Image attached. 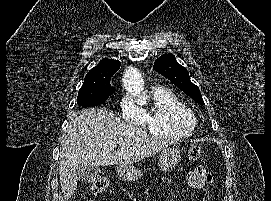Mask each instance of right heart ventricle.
I'll return each instance as SVG.
<instances>
[{
  "instance_id": "obj_1",
  "label": "right heart ventricle",
  "mask_w": 271,
  "mask_h": 201,
  "mask_svg": "<svg viewBox=\"0 0 271 201\" xmlns=\"http://www.w3.org/2000/svg\"><path fill=\"white\" fill-rule=\"evenodd\" d=\"M152 101L150 111L144 113V125L151 135L175 139L194 134L196 116L173 92L157 87L152 92Z\"/></svg>"
}]
</instances>
